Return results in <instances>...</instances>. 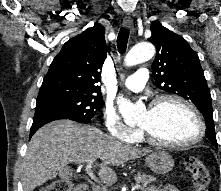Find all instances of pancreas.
Returning <instances> with one entry per match:
<instances>
[{
  "label": "pancreas",
  "mask_w": 221,
  "mask_h": 191,
  "mask_svg": "<svg viewBox=\"0 0 221 191\" xmlns=\"http://www.w3.org/2000/svg\"><path fill=\"white\" fill-rule=\"evenodd\" d=\"M134 179L138 184H140V188L142 189L146 188L150 183L155 182L157 180L156 177L144 173L143 174L138 173L137 175H135ZM92 191H104V190H101L100 187L96 186L93 188Z\"/></svg>",
  "instance_id": "pancreas-1"
}]
</instances>
